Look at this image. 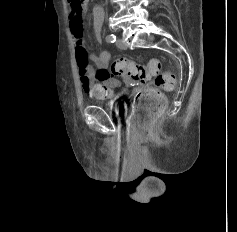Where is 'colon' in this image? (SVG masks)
<instances>
[{
    "instance_id": "obj_1",
    "label": "colon",
    "mask_w": 237,
    "mask_h": 232,
    "mask_svg": "<svg viewBox=\"0 0 237 232\" xmlns=\"http://www.w3.org/2000/svg\"><path fill=\"white\" fill-rule=\"evenodd\" d=\"M88 0H68L74 10L82 11ZM115 77L129 76L146 82L154 78L153 84H146L134 96L132 122L144 134H149L165 109V99L160 89L173 88L175 79L170 73L161 72V63L157 59L146 65L137 64L127 58H118L111 65Z\"/></svg>"
}]
</instances>
